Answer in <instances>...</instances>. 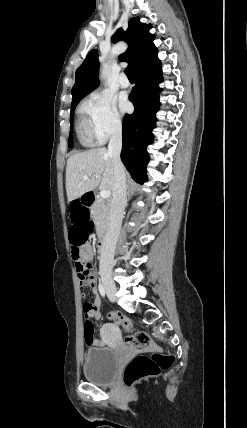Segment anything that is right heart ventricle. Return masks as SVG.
Returning a JSON list of instances; mask_svg holds the SVG:
<instances>
[{
  "instance_id": "obj_1",
  "label": "right heart ventricle",
  "mask_w": 247,
  "mask_h": 428,
  "mask_svg": "<svg viewBox=\"0 0 247 428\" xmlns=\"http://www.w3.org/2000/svg\"><path fill=\"white\" fill-rule=\"evenodd\" d=\"M76 130L78 139L82 145L92 146L94 144L95 136L93 134L87 105H83L79 110Z\"/></svg>"
}]
</instances>
